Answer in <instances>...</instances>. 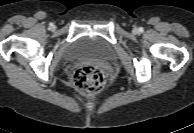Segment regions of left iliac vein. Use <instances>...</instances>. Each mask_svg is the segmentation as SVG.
Instances as JSON below:
<instances>
[{
    "label": "left iliac vein",
    "instance_id": "left-iliac-vein-1",
    "mask_svg": "<svg viewBox=\"0 0 194 133\" xmlns=\"http://www.w3.org/2000/svg\"><path fill=\"white\" fill-rule=\"evenodd\" d=\"M133 32H134V33H137V30H136V29H134V30H133Z\"/></svg>",
    "mask_w": 194,
    "mask_h": 133
}]
</instances>
